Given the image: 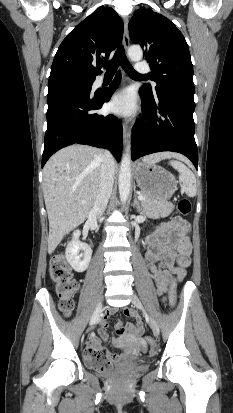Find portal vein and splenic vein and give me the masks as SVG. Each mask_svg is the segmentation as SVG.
I'll return each mask as SVG.
<instances>
[{
	"instance_id": "1",
	"label": "portal vein and splenic vein",
	"mask_w": 233,
	"mask_h": 413,
	"mask_svg": "<svg viewBox=\"0 0 233 413\" xmlns=\"http://www.w3.org/2000/svg\"><path fill=\"white\" fill-rule=\"evenodd\" d=\"M139 199H140V200H145V197L142 196V195H139ZM83 203H85V201H83Z\"/></svg>"
}]
</instances>
